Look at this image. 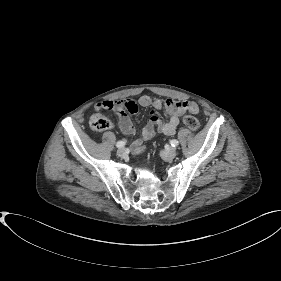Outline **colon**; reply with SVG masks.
I'll return each mask as SVG.
<instances>
[{
	"mask_svg": "<svg viewBox=\"0 0 281 281\" xmlns=\"http://www.w3.org/2000/svg\"><path fill=\"white\" fill-rule=\"evenodd\" d=\"M186 106L189 107L193 112L198 111V107L195 103H187ZM183 123L192 132H196L199 129V122L192 115L184 116ZM90 126L93 130L104 131L111 127V121L104 114L98 112L91 116Z\"/></svg>",
	"mask_w": 281,
	"mask_h": 281,
	"instance_id": "1",
	"label": "colon"
}]
</instances>
